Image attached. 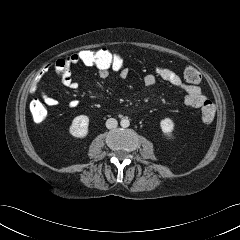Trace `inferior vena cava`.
Instances as JSON below:
<instances>
[{"instance_id": "obj_1", "label": "inferior vena cava", "mask_w": 240, "mask_h": 240, "mask_svg": "<svg viewBox=\"0 0 240 240\" xmlns=\"http://www.w3.org/2000/svg\"><path fill=\"white\" fill-rule=\"evenodd\" d=\"M118 125V122L116 119L114 118H109L107 121H106V127L108 129H113V128H116Z\"/></svg>"}]
</instances>
